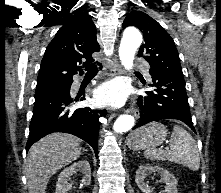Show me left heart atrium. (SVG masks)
Returning <instances> with one entry per match:
<instances>
[{"instance_id":"obj_1","label":"left heart atrium","mask_w":221,"mask_h":193,"mask_svg":"<svg viewBox=\"0 0 221 193\" xmlns=\"http://www.w3.org/2000/svg\"><path fill=\"white\" fill-rule=\"evenodd\" d=\"M128 97L127 88L121 82H111L103 85L96 92V101L100 104H109L112 106L123 105Z\"/></svg>"}]
</instances>
